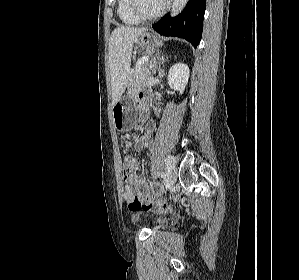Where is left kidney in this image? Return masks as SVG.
Masks as SVG:
<instances>
[{
	"label": "left kidney",
	"instance_id": "1",
	"mask_svg": "<svg viewBox=\"0 0 299 280\" xmlns=\"http://www.w3.org/2000/svg\"><path fill=\"white\" fill-rule=\"evenodd\" d=\"M167 79L170 87L182 94L189 79L188 66L183 63L173 65L169 70Z\"/></svg>",
	"mask_w": 299,
	"mask_h": 280
}]
</instances>
